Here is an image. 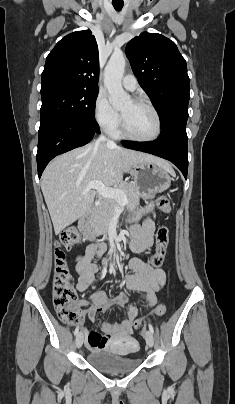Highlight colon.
<instances>
[{
  "mask_svg": "<svg viewBox=\"0 0 235 404\" xmlns=\"http://www.w3.org/2000/svg\"><path fill=\"white\" fill-rule=\"evenodd\" d=\"M159 208L170 212V204L165 196L157 199ZM81 241L80 233L75 229L64 230L55 243V274L53 281V301L58 318L65 324L78 325L81 320V310L77 302L75 290L71 286V276L66 261L65 250H69ZM169 243V231L165 226L158 228L156 232V250L149 259V266L158 268L164 261ZM166 311L164 303L159 304L149 317L139 318L134 321L135 328H142L147 322L162 316ZM101 343H107V338H102ZM132 346H128L129 348Z\"/></svg>",
  "mask_w": 235,
  "mask_h": 404,
  "instance_id": "1",
  "label": "colon"
}]
</instances>
